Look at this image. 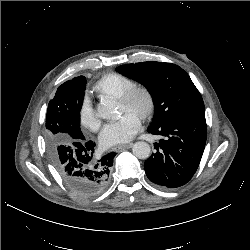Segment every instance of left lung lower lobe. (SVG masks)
<instances>
[{"mask_svg":"<svg viewBox=\"0 0 250 250\" xmlns=\"http://www.w3.org/2000/svg\"><path fill=\"white\" fill-rule=\"evenodd\" d=\"M148 132L163 137L144 163L148 179L165 188L186 184L196 172L207 138L205 115L179 118Z\"/></svg>","mask_w":250,"mask_h":250,"instance_id":"0a47b994","label":"left lung lower lobe"}]
</instances>
